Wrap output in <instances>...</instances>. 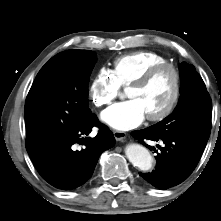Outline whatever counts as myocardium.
<instances>
[{
	"mask_svg": "<svg viewBox=\"0 0 221 221\" xmlns=\"http://www.w3.org/2000/svg\"><path fill=\"white\" fill-rule=\"evenodd\" d=\"M170 70L173 73L174 77V88L170 101L166 107L159 113L147 115L149 121H162L167 118L175 109L180 95L182 87V78L179 68L170 62L160 63L150 67L146 70L139 78L129 85V88H144L150 84V82L162 71Z\"/></svg>",
	"mask_w": 221,
	"mask_h": 221,
	"instance_id": "f54148a6",
	"label": "myocardium"
}]
</instances>
